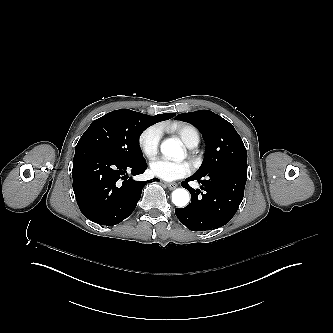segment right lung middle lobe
Listing matches in <instances>:
<instances>
[{"label":"right lung middle lobe","mask_w":333,"mask_h":333,"mask_svg":"<svg viewBox=\"0 0 333 333\" xmlns=\"http://www.w3.org/2000/svg\"><path fill=\"white\" fill-rule=\"evenodd\" d=\"M152 123L144 114L120 109L94 120L76 147L101 149L112 157L130 163L145 160L139 146L141 133Z\"/></svg>","instance_id":"right-lung-middle-lobe-1"}]
</instances>
